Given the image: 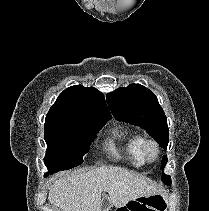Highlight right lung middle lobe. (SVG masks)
<instances>
[{"label": "right lung middle lobe", "instance_id": "obj_1", "mask_svg": "<svg viewBox=\"0 0 209 211\" xmlns=\"http://www.w3.org/2000/svg\"><path fill=\"white\" fill-rule=\"evenodd\" d=\"M110 118L83 121L75 124H45L44 139L47 143L44 163L49 173L66 170L83 163L95 133Z\"/></svg>", "mask_w": 209, "mask_h": 211}]
</instances>
